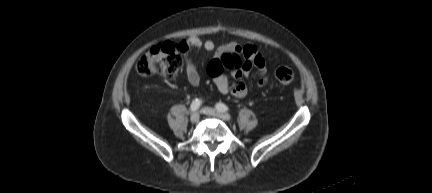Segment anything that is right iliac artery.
Returning a JSON list of instances; mask_svg holds the SVG:
<instances>
[{
    "mask_svg": "<svg viewBox=\"0 0 432 193\" xmlns=\"http://www.w3.org/2000/svg\"><path fill=\"white\" fill-rule=\"evenodd\" d=\"M202 101L200 99H195L192 101L191 105H190V109L191 111H196L199 109V107L201 106Z\"/></svg>",
    "mask_w": 432,
    "mask_h": 193,
    "instance_id": "82829eb1",
    "label": "right iliac artery"
}]
</instances>
